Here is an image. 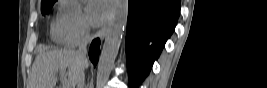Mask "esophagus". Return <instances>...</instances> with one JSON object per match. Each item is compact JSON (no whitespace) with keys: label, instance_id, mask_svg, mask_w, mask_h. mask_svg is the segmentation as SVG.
<instances>
[{"label":"esophagus","instance_id":"esophagus-1","mask_svg":"<svg viewBox=\"0 0 267 88\" xmlns=\"http://www.w3.org/2000/svg\"><path fill=\"white\" fill-rule=\"evenodd\" d=\"M110 25V20L107 21L102 27L101 29L97 32V37H99L101 40H103L107 34L108 31V27Z\"/></svg>","mask_w":267,"mask_h":88}]
</instances>
